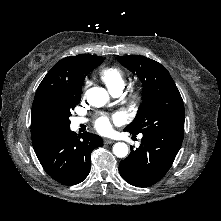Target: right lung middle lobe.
I'll return each mask as SVG.
<instances>
[{
	"label": "right lung middle lobe",
	"instance_id": "1",
	"mask_svg": "<svg viewBox=\"0 0 221 221\" xmlns=\"http://www.w3.org/2000/svg\"><path fill=\"white\" fill-rule=\"evenodd\" d=\"M105 58L99 57L94 60L92 63L88 64L86 73L88 74L94 68L99 66ZM81 94L72 93L66 99L58 101L52 104L51 106V117L55 127L61 132L69 129L71 116V110L80 102Z\"/></svg>",
	"mask_w": 221,
	"mask_h": 221
}]
</instances>
